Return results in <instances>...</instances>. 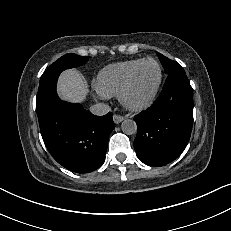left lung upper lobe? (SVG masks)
Wrapping results in <instances>:
<instances>
[{
	"label": "left lung upper lobe",
	"mask_w": 231,
	"mask_h": 231,
	"mask_svg": "<svg viewBox=\"0 0 231 231\" xmlns=\"http://www.w3.org/2000/svg\"><path fill=\"white\" fill-rule=\"evenodd\" d=\"M163 67L164 70L166 72V74H169L170 72L176 70V69H180L182 68V66L180 64H178L177 62L168 59L167 57L163 56L161 53L156 52Z\"/></svg>",
	"instance_id": "left-lung-upper-lobe-1"
}]
</instances>
